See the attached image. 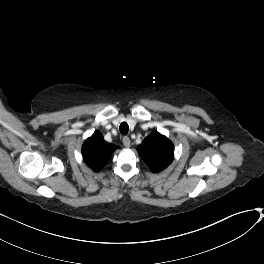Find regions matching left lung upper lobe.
I'll list each match as a JSON object with an SVG mask.
<instances>
[{"mask_svg": "<svg viewBox=\"0 0 264 264\" xmlns=\"http://www.w3.org/2000/svg\"><path fill=\"white\" fill-rule=\"evenodd\" d=\"M138 152L151 171L156 173L172 163L174 146L167 137L153 132L138 147Z\"/></svg>", "mask_w": 264, "mask_h": 264, "instance_id": "left-lung-upper-lobe-1", "label": "left lung upper lobe"}]
</instances>
